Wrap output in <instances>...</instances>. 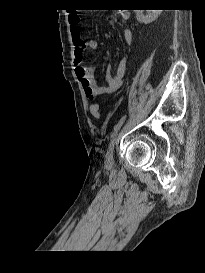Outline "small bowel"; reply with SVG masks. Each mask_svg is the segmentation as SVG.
<instances>
[{"mask_svg":"<svg viewBox=\"0 0 205 273\" xmlns=\"http://www.w3.org/2000/svg\"><path fill=\"white\" fill-rule=\"evenodd\" d=\"M121 18L128 19V13H122ZM68 21L71 27L72 42L74 47L73 60L75 63V73L78 80L81 82L86 96L90 99H94L102 95L110 94L119 89L122 85V80L126 71V59L120 60L114 75H112L108 69L105 76L106 84L99 85L94 78V66L82 65L84 51L86 49L92 51L97 50L98 42L93 39L87 41L82 40L78 28L80 22L79 15L70 14ZM122 36L125 44L130 45L132 43V32L130 29H125Z\"/></svg>","mask_w":205,"mask_h":273,"instance_id":"obj_1","label":"small bowel"}]
</instances>
